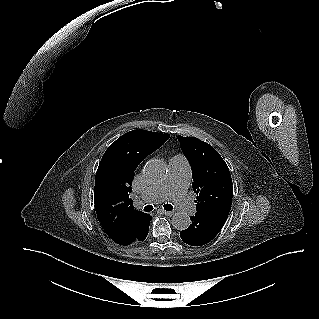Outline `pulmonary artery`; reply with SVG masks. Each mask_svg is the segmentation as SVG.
Instances as JSON below:
<instances>
[{"instance_id": "e3ab8cb5", "label": "pulmonary artery", "mask_w": 319, "mask_h": 319, "mask_svg": "<svg viewBox=\"0 0 319 319\" xmlns=\"http://www.w3.org/2000/svg\"><path fill=\"white\" fill-rule=\"evenodd\" d=\"M190 181V167L185 157L176 155L169 159V174L165 181L150 186L137 198V204H155L168 199L173 200L184 214L194 211V204L187 196Z\"/></svg>"}]
</instances>
